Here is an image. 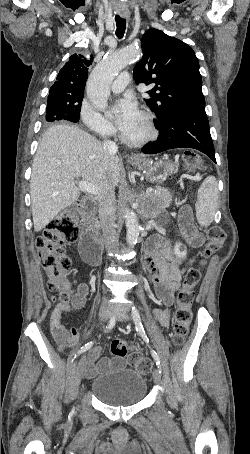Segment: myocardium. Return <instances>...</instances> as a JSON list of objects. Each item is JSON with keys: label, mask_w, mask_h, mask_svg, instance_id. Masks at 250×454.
I'll return each instance as SVG.
<instances>
[{"label": "myocardium", "mask_w": 250, "mask_h": 454, "mask_svg": "<svg viewBox=\"0 0 250 454\" xmlns=\"http://www.w3.org/2000/svg\"><path fill=\"white\" fill-rule=\"evenodd\" d=\"M140 115L142 116L147 128L146 135L139 139H129L123 133L120 135V139L122 140V142L132 147L144 146L150 143L151 141L155 140L158 136V131L153 116L146 111H142Z\"/></svg>", "instance_id": "f54148a6"}]
</instances>
